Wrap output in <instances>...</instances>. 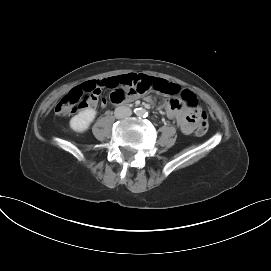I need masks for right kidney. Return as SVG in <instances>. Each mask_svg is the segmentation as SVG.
<instances>
[{
  "label": "right kidney",
  "mask_w": 271,
  "mask_h": 271,
  "mask_svg": "<svg viewBox=\"0 0 271 271\" xmlns=\"http://www.w3.org/2000/svg\"><path fill=\"white\" fill-rule=\"evenodd\" d=\"M96 110L88 108L71 118L70 127L76 132L86 131L96 117Z\"/></svg>",
  "instance_id": "right-kidney-1"
}]
</instances>
